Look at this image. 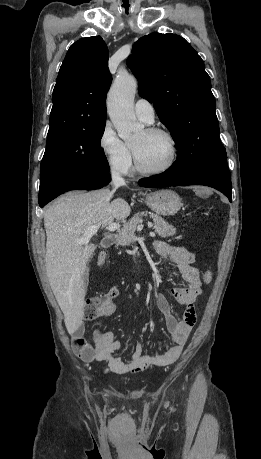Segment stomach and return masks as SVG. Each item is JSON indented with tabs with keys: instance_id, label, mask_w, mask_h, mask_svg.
Here are the masks:
<instances>
[{
	"instance_id": "stomach-1",
	"label": "stomach",
	"mask_w": 261,
	"mask_h": 459,
	"mask_svg": "<svg viewBox=\"0 0 261 459\" xmlns=\"http://www.w3.org/2000/svg\"><path fill=\"white\" fill-rule=\"evenodd\" d=\"M146 204L156 214L162 216H173L182 206L178 194L170 189H161L148 194Z\"/></svg>"
}]
</instances>
